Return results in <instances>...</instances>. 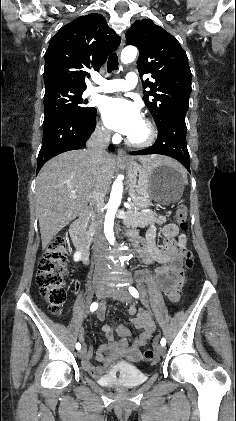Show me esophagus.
I'll return each instance as SVG.
<instances>
[{"instance_id": "1", "label": "esophagus", "mask_w": 236, "mask_h": 421, "mask_svg": "<svg viewBox=\"0 0 236 421\" xmlns=\"http://www.w3.org/2000/svg\"><path fill=\"white\" fill-rule=\"evenodd\" d=\"M124 45H125V35L122 34L121 43L119 45V52L123 49ZM117 159L118 161H129V157L126 151L121 148H118L117 150Z\"/></svg>"}]
</instances>
